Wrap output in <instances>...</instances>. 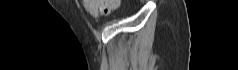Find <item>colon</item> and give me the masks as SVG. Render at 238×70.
Instances as JSON below:
<instances>
[{
  "label": "colon",
  "mask_w": 238,
  "mask_h": 70,
  "mask_svg": "<svg viewBox=\"0 0 238 70\" xmlns=\"http://www.w3.org/2000/svg\"><path fill=\"white\" fill-rule=\"evenodd\" d=\"M84 3L92 15L100 17L109 14L112 10L115 12L120 0H85Z\"/></svg>",
  "instance_id": "colon-1"
}]
</instances>
